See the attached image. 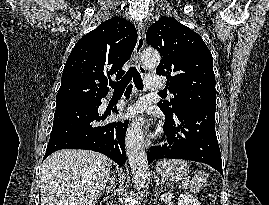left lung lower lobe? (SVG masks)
<instances>
[{
  "mask_svg": "<svg viewBox=\"0 0 269 205\" xmlns=\"http://www.w3.org/2000/svg\"><path fill=\"white\" fill-rule=\"evenodd\" d=\"M215 111L216 107L210 105L183 108L172 114L162 110L166 117L164 136L167 143L148 150V164L163 158L186 159L208 164L223 175Z\"/></svg>",
  "mask_w": 269,
  "mask_h": 205,
  "instance_id": "left-lung-lower-lobe-1",
  "label": "left lung lower lobe"
}]
</instances>
